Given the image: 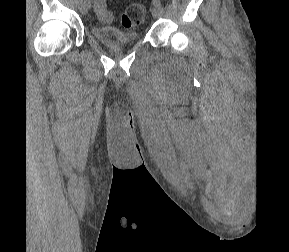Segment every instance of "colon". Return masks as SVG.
<instances>
[{
	"mask_svg": "<svg viewBox=\"0 0 289 252\" xmlns=\"http://www.w3.org/2000/svg\"><path fill=\"white\" fill-rule=\"evenodd\" d=\"M94 10L98 18L103 22L112 20V13L108 10L106 0H95ZM145 16V8L141 4L129 5L121 16V24L126 28H131L141 24Z\"/></svg>",
	"mask_w": 289,
	"mask_h": 252,
	"instance_id": "colon-1",
	"label": "colon"
}]
</instances>
